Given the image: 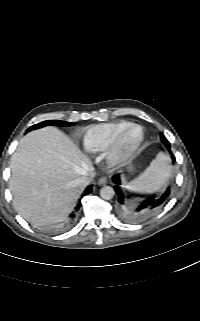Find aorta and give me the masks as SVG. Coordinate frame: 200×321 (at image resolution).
Here are the masks:
<instances>
[{"label":"aorta","instance_id":"aorta-1","mask_svg":"<svg viewBox=\"0 0 200 321\" xmlns=\"http://www.w3.org/2000/svg\"><path fill=\"white\" fill-rule=\"evenodd\" d=\"M100 195L103 199L105 200H110L114 197L115 191L112 187L110 186H104L100 190Z\"/></svg>","mask_w":200,"mask_h":321}]
</instances>
